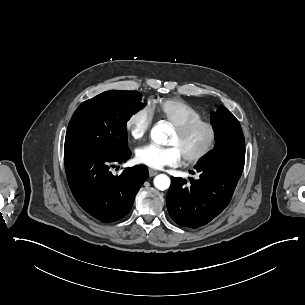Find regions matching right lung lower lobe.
<instances>
[{
    "label": "right lung lower lobe",
    "instance_id": "1",
    "mask_svg": "<svg viewBox=\"0 0 305 305\" xmlns=\"http://www.w3.org/2000/svg\"><path fill=\"white\" fill-rule=\"evenodd\" d=\"M129 148L101 154L91 151L65 152L64 162L68 183L78 204L101 222H113L126 216L141 185L148 178L147 167L127 168L114 176L110 167L126 162Z\"/></svg>",
    "mask_w": 305,
    "mask_h": 305
}]
</instances>
